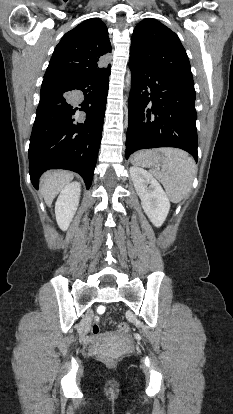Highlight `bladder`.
I'll list each match as a JSON object with an SVG mask.
<instances>
[{"label":"bladder","instance_id":"bladder-1","mask_svg":"<svg viewBox=\"0 0 233 414\" xmlns=\"http://www.w3.org/2000/svg\"><path fill=\"white\" fill-rule=\"evenodd\" d=\"M121 340H122L121 337H118L112 333L105 334L100 338V341L102 344L116 343V342H120Z\"/></svg>","mask_w":233,"mask_h":414}]
</instances>
